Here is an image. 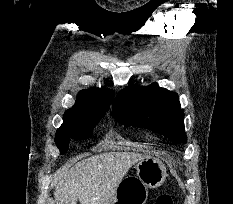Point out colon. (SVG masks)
Wrapping results in <instances>:
<instances>
[{
    "label": "colon",
    "mask_w": 233,
    "mask_h": 204,
    "mask_svg": "<svg viewBox=\"0 0 233 204\" xmlns=\"http://www.w3.org/2000/svg\"><path fill=\"white\" fill-rule=\"evenodd\" d=\"M155 204H173V200L169 194L164 193L158 196Z\"/></svg>",
    "instance_id": "obj_1"
}]
</instances>
